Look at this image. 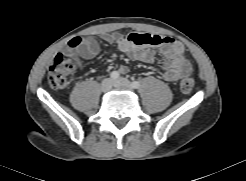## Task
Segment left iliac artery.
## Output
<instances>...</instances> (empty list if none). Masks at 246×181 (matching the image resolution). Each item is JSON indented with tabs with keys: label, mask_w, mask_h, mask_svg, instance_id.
<instances>
[{
	"label": "left iliac artery",
	"mask_w": 246,
	"mask_h": 181,
	"mask_svg": "<svg viewBox=\"0 0 246 181\" xmlns=\"http://www.w3.org/2000/svg\"><path fill=\"white\" fill-rule=\"evenodd\" d=\"M132 88L138 89L140 87V83L138 81H133L131 83Z\"/></svg>",
	"instance_id": "obj_1"
}]
</instances>
